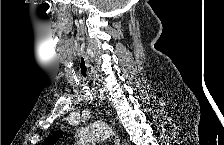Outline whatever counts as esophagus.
<instances>
[{
  "label": "esophagus",
  "mask_w": 224,
  "mask_h": 145,
  "mask_svg": "<svg viewBox=\"0 0 224 145\" xmlns=\"http://www.w3.org/2000/svg\"><path fill=\"white\" fill-rule=\"evenodd\" d=\"M115 145H120V139L118 137L115 138Z\"/></svg>",
  "instance_id": "esophagus-1"
}]
</instances>
